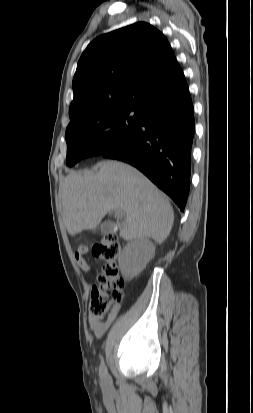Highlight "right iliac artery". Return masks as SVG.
I'll return each mask as SVG.
<instances>
[{"label": "right iliac artery", "instance_id": "82829eb1", "mask_svg": "<svg viewBox=\"0 0 253 413\" xmlns=\"http://www.w3.org/2000/svg\"><path fill=\"white\" fill-rule=\"evenodd\" d=\"M99 373H100L101 378H104L107 375V368L104 362H101L100 364Z\"/></svg>", "mask_w": 253, "mask_h": 413}]
</instances>
